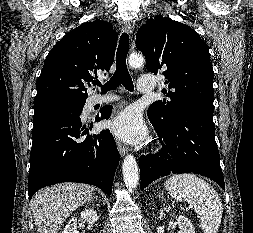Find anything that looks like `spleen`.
I'll list each match as a JSON object with an SVG mask.
<instances>
[{"label": "spleen", "mask_w": 253, "mask_h": 233, "mask_svg": "<svg viewBox=\"0 0 253 233\" xmlns=\"http://www.w3.org/2000/svg\"><path fill=\"white\" fill-rule=\"evenodd\" d=\"M166 190L182 197L199 215L204 233H217L221 224L223 206L216 190L195 174L171 176L164 184Z\"/></svg>", "instance_id": "spleen-1"}]
</instances>
